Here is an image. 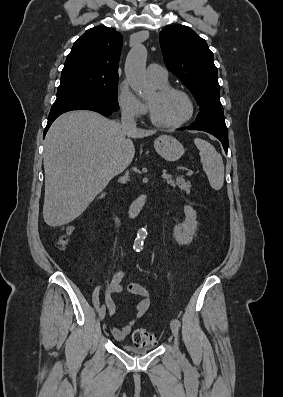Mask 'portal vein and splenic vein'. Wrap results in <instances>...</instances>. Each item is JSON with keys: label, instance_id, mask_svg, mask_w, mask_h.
Here are the masks:
<instances>
[{"label": "portal vein and splenic vein", "instance_id": "obj_1", "mask_svg": "<svg viewBox=\"0 0 283 397\" xmlns=\"http://www.w3.org/2000/svg\"><path fill=\"white\" fill-rule=\"evenodd\" d=\"M161 177L164 179H170V178H172V174H167L166 172H163Z\"/></svg>", "mask_w": 283, "mask_h": 397}]
</instances>
